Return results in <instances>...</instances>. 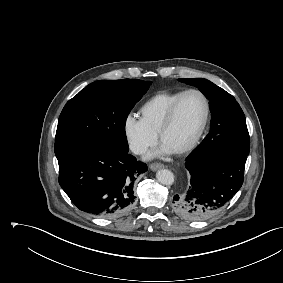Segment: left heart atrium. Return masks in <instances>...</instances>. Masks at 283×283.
Wrapping results in <instances>:
<instances>
[{
	"mask_svg": "<svg viewBox=\"0 0 283 283\" xmlns=\"http://www.w3.org/2000/svg\"><path fill=\"white\" fill-rule=\"evenodd\" d=\"M172 153H174V151L170 149L167 145L162 143V145L156 151L150 154V157L167 156Z\"/></svg>",
	"mask_w": 283,
	"mask_h": 283,
	"instance_id": "39dd6f15",
	"label": "left heart atrium"
}]
</instances>
